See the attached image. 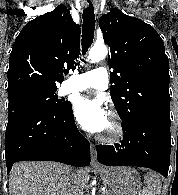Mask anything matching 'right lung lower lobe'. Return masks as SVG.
I'll list each match as a JSON object with an SVG mask.
<instances>
[{
    "instance_id": "obj_1",
    "label": "right lung lower lobe",
    "mask_w": 178,
    "mask_h": 195,
    "mask_svg": "<svg viewBox=\"0 0 178 195\" xmlns=\"http://www.w3.org/2000/svg\"><path fill=\"white\" fill-rule=\"evenodd\" d=\"M8 112L7 173L15 162L25 160L90 164V144L75 125L71 104L61 110L15 107Z\"/></svg>"
}]
</instances>
